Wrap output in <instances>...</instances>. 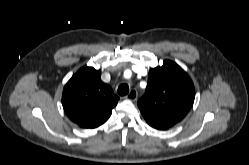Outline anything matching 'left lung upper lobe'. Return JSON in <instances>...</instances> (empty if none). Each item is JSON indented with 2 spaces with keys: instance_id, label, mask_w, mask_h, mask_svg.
<instances>
[{
  "instance_id": "obj_1",
  "label": "left lung upper lobe",
  "mask_w": 249,
  "mask_h": 165,
  "mask_svg": "<svg viewBox=\"0 0 249 165\" xmlns=\"http://www.w3.org/2000/svg\"><path fill=\"white\" fill-rule=\"evenodd\" d=\"M194 98L195 88L187 73L175 62L165 60L149 71L138 107L149 125L168 129L186 116Z\"/></svg>"
}]
</instances>
